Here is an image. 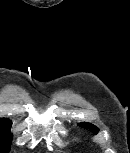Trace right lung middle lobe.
<instances>
[{
	"mask_svg": "<svg viewBox=\"0 0 130 153\" xmlns=\"http://www.w3.org/2000/svg\"><path fill=\"white\" fill-rule=\"evenodd\" d=\"M11 121L5 118L0 119V153H9L12 134L10 133Z\"/></svg>",
	"mask_w": 130,
	"mask_h": 153,
	"instance_id": "right-lung-middle-lobe-1",
	"label": "right lung middle lobe"
}]
</instances>
